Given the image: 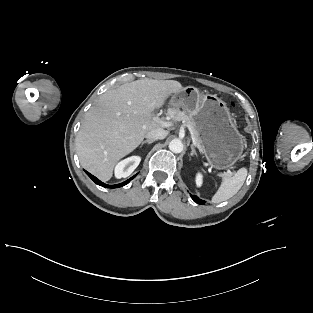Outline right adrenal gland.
<instances>
[{
  "mask_svg": "<svg viewBox=\"0 0 313 313\" xmlns=\"http://www.w3.org/2000/svg\"><path fill=\"white\" fill-rule=\"evenodd\" d=\"M153 142H154V140H145V141H142L141 147H142L144 144L150 145V144L153 143Z\"/></svg>",
  "mask_w": 313,
  "mask_h": 313,
  "instance_id": "obj_1",
  "label": "right adrenal gland"
}]
</instances>
